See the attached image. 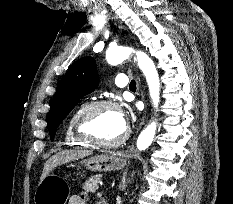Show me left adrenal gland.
Here are the masks:
<instances>
[{
	"label": "left adrenal gland",
	"instance_id": "left-adrenal-gland-1",
	"mask_svg": "<svg viewBox=\"0 0 233 204\" xmlns=\"http://www.w3.org/2000/svg\"><path fill=\"white\" fill-rule=\"evenodd\" d=\"M126 174L127 173L125 172L123 174V176H122V181H121V184H120V190L121 191H124L125 188L127 187V183L130 182V179H128V181H126ZM134 174H135V172L132 173L131 178H133Z\"/></svg>",
	"mask_w": 233,
	"mask_h": 204
}]
</instances>
